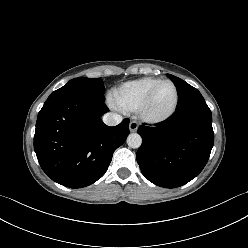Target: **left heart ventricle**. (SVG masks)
<instances>
[{
    "mask_svg": "<svg viewBox=\"0 0 248 248\" xmlns=\"http://www.w3.org/2000/svg\"><path fill=\"white\" fill-rule=\"evenodd\" d=\"M174 102V89L169 84L160 86L153 95L147 113L151 116H161L167 113Z\"/></svg>",
    "mask_w": 248,
    "mask_h": 248,
    "instance_id": "left-heart-ventricle-1",
    "label": "left heart ventricle"
}]
</instances>
